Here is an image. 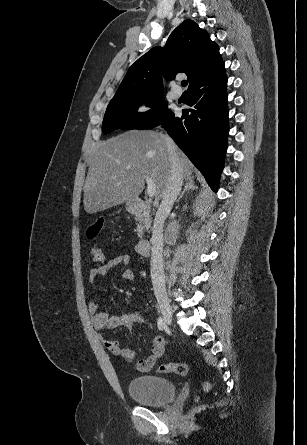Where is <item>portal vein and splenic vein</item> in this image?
<instances>
[{"label": "portal vein and splenic vein", "mask_w": 307, "mask_h": 445, "mask_svg": "<svg viewBox=\"0 0 307 445\" xmlns=\"http://www.w3.org/2000/svg\"><path fill=\"white\" fill-rule=\"evenodd\" d=\"M145 180L147 182V194H148V196H154V194L156 192L155 182H153V180H152V178H150V176H146Z\"/></svg>", "instance_id": "obj_1"}]
</instances>
